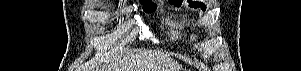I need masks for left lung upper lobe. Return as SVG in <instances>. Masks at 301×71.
Returning <instances> with one entry per match:
<instances>
[{
    "label": "left lung upper lobe",
    "instance_id": "left-lung-upper-lobe-1",
    "mask_svg": "<svg viewBox=\"0 0 301 71\" xmlns=\"http://www.w3.org/2000/svg\"><path fill=\"white\" fill-rule=\"evenodd\" d=\"M168 1L171 2V3H173V4L176 5V6H180V5L182 4V1H183V0H168ZM187 1H188V3H189V6H190V7H193V8L201 7V9H202L203 11L206 10V6H205V4H203V3H200V2H193L192 0H187Z\"/></svg>",
    "mask_w": 301,
    "mask_h": 71
}]
</instances>
